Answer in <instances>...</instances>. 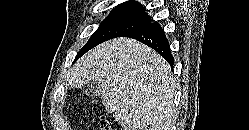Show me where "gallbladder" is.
I'll return each mask as SVG.
<instances>
[{
    "mask_svg": "<svg viewBox=\"0 0 249 130\" xmlns=\"http://www.w3.org/2000/svg\"><path fill=\"white\" fill-rule=\"evenodd\" d=\"M82 91L89 98H97L101 95L100 86L97 81H88L83 86Z\"/></svg>",
    "mask_w": 249,
    "mask_h": 130,
    "instance_id": "gallbladder-1",
    "label": "gallbladder"
}]
</instances>
